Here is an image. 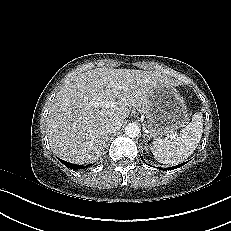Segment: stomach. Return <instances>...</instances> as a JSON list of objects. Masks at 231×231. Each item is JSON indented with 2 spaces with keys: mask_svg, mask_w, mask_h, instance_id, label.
Masks as SVG:
<instances>
[{
  "mask_svg": "<svg viewBox=\"0 0 231 231\" xmlns=\"http://www.w3.org/2000/svg\"><path fill=\"white\" fill-rule=\"evenodd\" d=\"M144 113L148 136L161 137L183 126L189 120L187 106L174 86L158 84L147 98Z\"/></svg>",
  "mask_w": 231,
  "mask_h": 231,
  "instance_id": "stomach-1",
  "label": "stomach"
}]
</instances>
